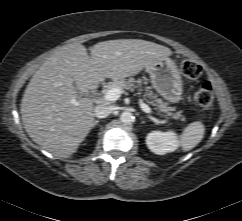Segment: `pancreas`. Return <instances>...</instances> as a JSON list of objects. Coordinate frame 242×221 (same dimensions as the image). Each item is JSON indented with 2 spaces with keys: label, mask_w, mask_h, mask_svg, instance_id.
<instances>
[{
  "label": "pancreas",
  "mask_w": 242,
  "mask_h": 221,
  "mask_svg": "<svg viewBox=\"0 0 242 221\" xmlns=\"http://www.w3.org/2000/svg\"><path fill=\"white\" fill-rule=\"evenodd\" d=\"M141 85L142 81L140 79L135 80L133 78H129L128 80H115L105 86L104 92L106 93L112 88H119L121 89L122 93H124L125 90L134 91L135 89H138V94H140L142 91ZM143 100H146L149 105L154 106L158 113H165V116L168 118H173L175 120L181 119L182 121H185V117L182 115V111L174 113L173 111H175L176 108L168 106V103L158 98V96L150 90V87H145Z\"/></svg>",
  "instance_id": "1"
}]
</instances>
